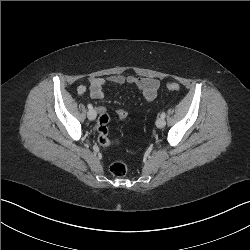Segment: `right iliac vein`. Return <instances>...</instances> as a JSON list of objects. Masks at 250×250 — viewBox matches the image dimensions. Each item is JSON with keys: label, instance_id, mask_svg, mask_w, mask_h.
<instances>
[{"label": "right iliac vein", "instance_id": "right-iliac-vein-1", "mask_svg": "<svg viewBox=\"0 0 250 250\" xmlns=\"http://www.w3.org/2000/svg\"><path fill=\"white\" fill-rule=\"evenodd\" d=\"M96 116H97V113L94 109L89 110L87 113V117L89 120H94Z\"/></svg>", "mask_w": 250, "mask_h": 250}]
</instances>
